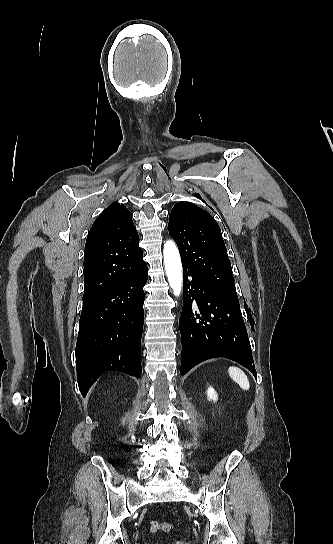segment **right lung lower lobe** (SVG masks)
Here are the masks:
<instances>
[{
  "mask_svg": "<svg viewBox=\"0 0 333 544\" xmlns=\"http://www.w3.org/2000/svg\"><path fill=\"white\" fill-rule=\"evenodd\" d=\"M146 263L106 293L83 301L76 344L77 382L83 396L106 371L139 377Z\"/></svg>",
  "mask_w": 333,
  "mask_h": 544,
  "instance_id": "right-lung-lower-lobe-1",
  "label": "right lung lower lobe"
}]
</instances>
